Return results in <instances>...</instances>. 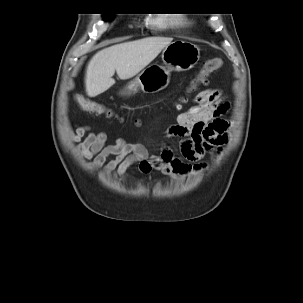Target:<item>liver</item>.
<instances>
[{
  "instance_id": "liver-1",
  "label": "liver",
  "mask_w": 303,
  "mask_h": 303,
  "mask_svg": "<svg viewBox=\"0 0 303 303\" xmlns=\"http://www.w3.org/2000/svg\"><path fill=\"white\" fill-rule=\"evenodd\" d=\"M172 42L170 37H147L102 49L89 61L85 89L89 97L108 90L115 84V71L120 79L134 77Z\"/></svg>"
}]
</instances>
